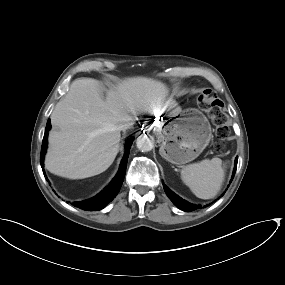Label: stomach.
<instances>
[{"label": "stomach", "mask_w": 285, "mask_h": 285, "mask_svg": "<svg viewBox=\"0 0 285 285\" xmlns=\"http://www.w3.org/2000/svg\"><path fill=\"white\" fill-rule=\"evenodd\" d=\"M156 134L161 143L160 155L175 165L197 158L212 138L207 118L192 108L164 116L156 125Z\"/></svg>", "instance_id": "0dacf381"}]
</instances>
